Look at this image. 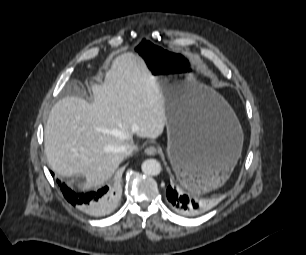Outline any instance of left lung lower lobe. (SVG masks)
I'll return each mask as SVG.
<instances>
[{
  "label": "left lung lower lobe",
  "instance_id": "obj_1",
  "mask_svg": "<svg viewBox=\"0 0 306 255\" xmlns=\"http://www.w3.org/2000/svg\"><path fill=\"white\" fill-rule=\"evenodd\" d=\"M198 169L194 165H184L182 170V181L190 184L198 177ZM167 199L171 207L178 213L188 216L198 215L205 209V202L193 199L186 194L177 191L176 187L167 188Z\"/></svg>",
  "mask_w": 306,
  "mask_h": 255
}]
</instances>
